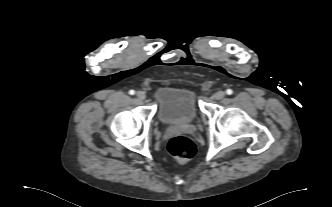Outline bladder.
Listing matches in <instances>:
<instances>
[{
    "label": "bladder",
    "mask_w": 332,
    "mask_h": 207,
    "mask_svg": "<svg viewBox=\"0 0 332 207\" xmlns=\"http://www.w3.org/2000/svg\"><path fill=\"white\" fill-rule=\"evenodd\" d=\"M157 119L162 124L192 123L200 113L197 94L189 88L161 87L155 92Z\"/></svg>",
    "instance_id": "bladder-1"
}]
</instances>
